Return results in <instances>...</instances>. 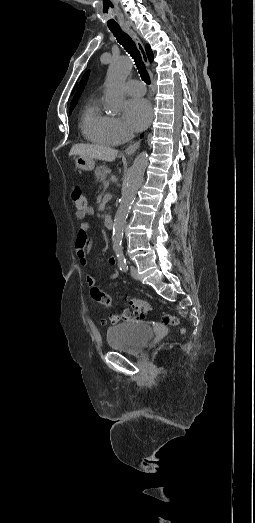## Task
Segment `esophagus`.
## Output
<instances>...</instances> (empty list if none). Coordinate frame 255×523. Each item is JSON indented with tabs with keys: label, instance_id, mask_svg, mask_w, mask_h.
<instances>
[{
	"label": "esophagus",
	"instance_id": "obj_1",
	"mask_svg": "<svg viewBox=\"0 0 255 523\" xmlns=\"http://www.w3.org/2000/svg\"><path fill=\"white\" fill-rule=\"evenodd\" d=\"M125 32L128 33V35H130V37L134 40V42L136 43V46L141 54V57H142V60L144 62V64L149 68L150 66V63H149V60H148V57H147V54H146V50L144 48V45L142 44V42L140 41L138 35L133 31L131 30L130 28H124ZM150 78L151 80L153 79V75L150 74ZM154 118V110L153 108L151 109V120H153ZM140 145V142H136V143H132V145H130L126 150H125V153L127 155H132L133 153H135V151L137 150V148L139 147Z\"/></svg>",
	"mask_w": 255,
	"mask_h": 523
}]
</instances>
